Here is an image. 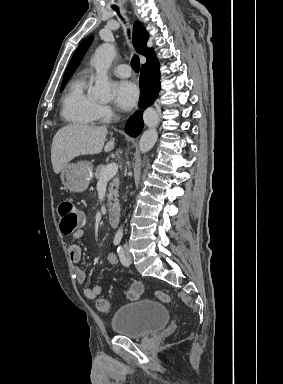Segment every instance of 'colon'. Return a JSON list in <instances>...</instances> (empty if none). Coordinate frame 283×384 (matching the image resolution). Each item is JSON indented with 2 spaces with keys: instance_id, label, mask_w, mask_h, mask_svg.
I'll use <instances>...</instances> for the list:
<instances>
[{
  "instance_id": "colon-1",
  "label": "colon",
  "mask_w": 283,
  "mask_h": 384,
  "mask_svg": "<svg viewBox=\"0 0 283 384\" xmlns=\"http://www.w3.org/2000/svg\"><path fill=\"white\" fill-rule=\"evenodd\" d=\"M58 213L60 218V229L64 234H72L84 223V215L77 208L75 203L70 199H64L59 203ZM142 287L138 284H133L129 289L127 296L129 299H138L142 294ZM156 297L163 303L169 304L171 302L170 296L161 290L155 292ZM97 308L99 311L106 313L110 311V303L106 299H99L97 301Z\"/></svg>"
}]
</instances>
